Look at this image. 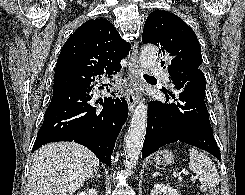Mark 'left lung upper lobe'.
<instances>
[{"mask_svg": "<svg viewBox=\"0 0 245 195\" xmlns=\"http://www.w3.org/2000/svg\"><path fill=\"white\" fill-rule=\"evenodd\" d=\"M142 41L172 57L168 71L178 92L205 96V76L199 69L201 48L196 34L181 18L167 11L152 12L145 22Z\"/></svg>", "mask_w": 245, "mask_h": 195, "instance_id": "obj_1", "label": "left lung upper lobe"}]
</instances>
